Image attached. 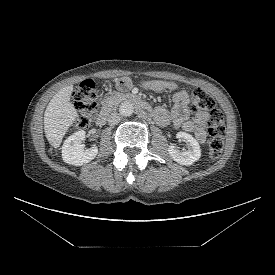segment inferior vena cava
<instances>
[{"label":"inferior vena cava","mask_w":275,"mask_h":275,"mask_svg":"<svg viewBox=\"0 0 275 275\" xmlns=\"http://www.w3.org/2000/svg\"><path fill=\"white\" fill-rule=\"evenodd\" d=\"M120 119H121L120 115L116 112H113L108 117V124L111 126L115 125L120 122Z\"/></svg>","instance_id":"obj_1"}]
</instances>
